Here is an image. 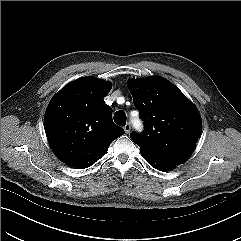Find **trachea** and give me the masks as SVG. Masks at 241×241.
<instances>
[{
	"label": "trachea",
	"mask_w": 241,
	"mask_h": 241,
	"mask_svg": "<svg viewBox=\"0 0 241 241\" xmlns=\"http://www.w3.org/2000/svg\"><path fill=\"white\" fill-rule=\"evenodd\" d=\"M114 122L117 125L124 126L126 124V114L124 111H117L114 114Z\"/></svg>",
	"instance_id": "trachea-1"
}]
</instances>
